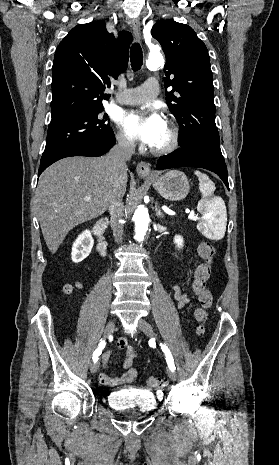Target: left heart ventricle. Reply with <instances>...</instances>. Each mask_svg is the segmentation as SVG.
<instances>
[{"mask_svg":"<svg viewBox=\"0 0 279 465\" xmlns=\"http://www.w3.org/2000/svg\"><path fill=\"white\" fill-rule=\"evenodd\" d=\"M170 137H171L170 129H169L168 125L165 124L164 128L162 129V131L158 135L157 139L155 140V142L151 146L154 147V148L164 147L169 143Z\"/></svg>","mask_w":279,"mask_h":465,"instance_id":"b2bd125f","label":"left heart ventricle"}]
</instances>
